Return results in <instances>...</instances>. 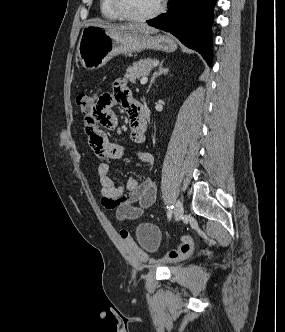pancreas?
<instances>
[{"mask_svg": "<svg viewBox=\"0 0 285 332\" xmlns=\"http://www.w3.org/2000/svg\"><path fill=\"white\" fill-rule=\"evenodd\" d=\"M153 63L154 59L151 58L139 60L128 67L124 77L131 82H135L137 78L145 76L150 72Z\"/></svg>", "mask_w": 285, "mask_h": 332, "instance_id": "cf45deb5", "label": "pancreas"}]
</instances>
